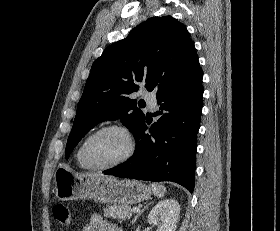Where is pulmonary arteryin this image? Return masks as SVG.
Masks as SVG:
<instances>
[{
    "mask_svg": "<svg viewBox=\"0 0 280 231\" xmlns=\"http://www.w3.org/2000/svg\"><path fill=\"white\" fill-rule=\"evenodd\" d=\"M143 97L148 105H157V97L155 92H144Z\"/></svg>",
    "mask_w": 280,
    "mask_h": 231,
    "instance_id": "e3ab8cb5",
    "label": "pulmonary artery"
}]
</instances>
